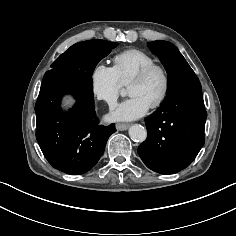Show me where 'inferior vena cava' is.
I'll use <instances>...</instances> for the list:
<instances>
[{
	"label": "inferior vena cava",
	"mask_w": 236,
	"mask_h": 236,
	"mask_svg": "<svg viewBox=\"0 0 236 236\" xmlns=\"http://www.w3.org/2000/svg\"><path fill=\"white\" fill-rule=\"evenodd\" d=\"M109 106H110V109L113 110L117 107V104L116 103H111Z\"/></svg>",
	"instance_id": "inferior-vena-cava-1"
}]
</instances>
